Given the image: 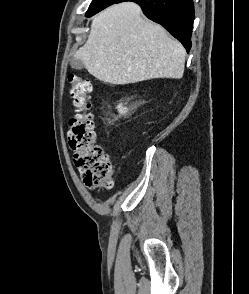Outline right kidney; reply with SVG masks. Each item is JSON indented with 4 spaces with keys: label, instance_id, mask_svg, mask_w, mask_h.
<instances>
[{
    "label": "right kidney",
    "instance_id": "1",
    "mask_svg": "<svg viewBox=\"0 0 249 294\" xmlns=\"http://www.w3.org/2000/svg\"><path fill=\"white\" fill-rule=\"evenodd\" d=\"M117 109H118V111H119L120 114H125L127 112V108L124 107L122 104H119L117 106Z\"/></svg>",
    "mask_w": 249,
    "mask_h": 294
}]
</instances>
